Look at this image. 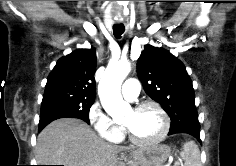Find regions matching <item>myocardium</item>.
Returning <instances> with one entry per match:
<instances>
[{"mask_svg":"<svg viewBox=\"0 0 236 166\" xmlns=\"http://www.w3.org/2000/svg\"><path fill=\"white\" fill-rule=\"evenodd\" d=\"M147 107H153L159 112L163 120V128H162L161 133L156 138L151 139V140H140L133 134V132L130 130L129 127H127L126 125H123V129L126 135L128 136L129 140L133 144L138 145V146H153V145L159 144L166 138L170 129V119L167 112L159 103L155 101L147 100V101L140 102L133 107V111L139 112Z\"/></svg>","mask_w":236,"mask_h":166,"instance_id":"1","label":"myocardium"}]
</instances>
